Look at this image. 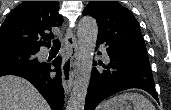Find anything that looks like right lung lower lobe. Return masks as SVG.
<instances>
[{"mask_svg":"<svg viewBox=\"0 0 171 110\" xmlns=\"http://www.w3.org/2000/svg\"><path fill=\"white\" fill-rule=\"evenodd\" d=\"M51 65L55 69H51ZM61 58L57 57L51 64L41 63L34 67H18L0 71V76L16 75L30 81L46 99L52 110H62L64 89L61 84ZM52 71L57 72L55 76Z\"/></svg>","mask_w":171,"mask_h":110,"instance_id":"98d812e1","label":"right lung lower lobe"}]
</instances>
